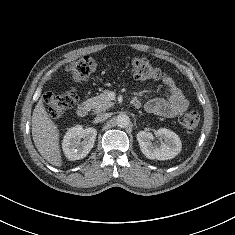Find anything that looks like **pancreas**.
Returning a JSON list of instances; mask_svg holds the SVG:
<instances>
[{
	"label": "pancreas",
	"instance_id": "obj_1",
	"mask_svg": "<svg viewBox=\"0 0 235 235\" xmlns=\"http://www.w3.org/2000/svg\"><path fill=\"white\" fill-rule=\"evenodd\" d=\"M109 93L110 92L108 90H104L100 95L88 100L95 113L106 111L114 105L109 98Z\"/></svg>",
	"mask_w": 235,
	"mask_h": 235
}]
</instances>
